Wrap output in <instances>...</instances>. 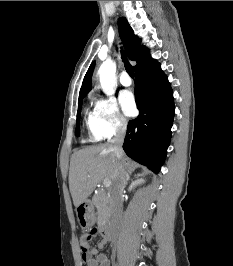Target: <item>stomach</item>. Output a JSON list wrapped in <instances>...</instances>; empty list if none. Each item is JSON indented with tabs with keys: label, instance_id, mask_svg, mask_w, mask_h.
Listing matches in <instances>:
<instances>
[{
	"label": "stomach",
	"instance_id": "0dacf381",
	"mask_svg": "<svg viewBox=\"0 0 233 266\" xmlns=\"http://www.w3.org/2000/svg\"><path fill=\"white\" fill-rule=\"evenodd\" d=\"M78 208L74 209V214H77L79 228H92L95 222L94 204H79Z\"/></svg>",
	"mask_w": 233,
	"mask_h": 266
}]
</instances>
